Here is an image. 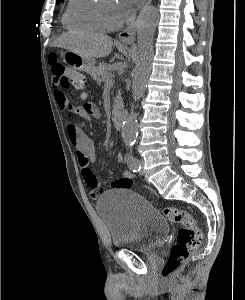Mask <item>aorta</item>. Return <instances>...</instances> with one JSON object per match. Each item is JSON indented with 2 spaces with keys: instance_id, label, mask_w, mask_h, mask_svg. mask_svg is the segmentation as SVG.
<instances>
[{
  "instance_id": "1",
  "label": "aorta",
  "mask_w": 245,
  "mask_h": 300,
  "mask_svg": "<svg viewBox=\"0 0 245 300\" xmlns=\"http://www.w3.org/2000/svg\"><path fill=\"white\" fill-rule=\"evenodd\" d=\"M159 20L158 9L154 6L145 8L138 22L136 65L133 70L132 97L136 102L144 94L151 72L153 58V37ZM138 121L134 110L123 122L122 137L126 146H131L137 137Z\"/></svg>"
}]
</instances>
